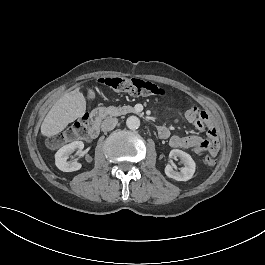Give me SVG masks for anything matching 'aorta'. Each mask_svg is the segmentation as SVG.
Returning <instances> with one entry per match:
<instances>
[{"label": "aorta", "instance_id": "aorta-1", "mask_svg": "<svg viewBox=\"0 0 265 265\" xmlns=\"http://www.w3.org/2000/svg\"><path fill=\"white\" fill-rule=\"evenodd\" d=\"M126 125L131 130H136L140 126V119L136 116H130L126 120Z\"/></svg>", "mask_w": 265, "mask_h": 265}]
</instances>
